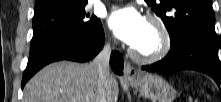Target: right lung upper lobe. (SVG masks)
I'll use <instances>...</instances> for the list:
<instances>
[{"label": "right lung upper lobe", "mask_w": 221, "mask_h": 102, "mask_svg": "<svg viewBox=\"0 0 221 102\" xmlns=\"http://www.w3.org/2000/svg\"><path fill=\"white\" fill-rule=\"evenodd\" d=\"M44 1H46V0H37V1H36V4L42 3V2H44Z\"/></svg>", "instance_id": "1"}]
</instances>
